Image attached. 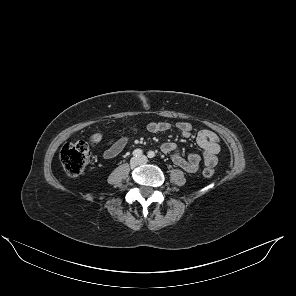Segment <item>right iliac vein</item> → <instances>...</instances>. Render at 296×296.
<instances>
[{"label": "right iliac vein", "instance_id": "1", "mask_svg": "<svg viewBox=\"0 0 296 296\" xmlns=\"http://www.w3.org/2000/svg\"><path fill=\"white\" fill-rule=\"evenodd\" d=\"M141 163V159L137 157H133L130 161L131 167H136Z\"/></svg>", "mask_w": 296, "mask_h": 296}]
</instances>
